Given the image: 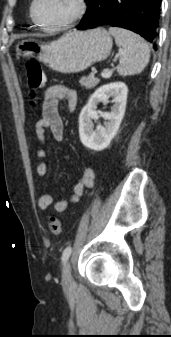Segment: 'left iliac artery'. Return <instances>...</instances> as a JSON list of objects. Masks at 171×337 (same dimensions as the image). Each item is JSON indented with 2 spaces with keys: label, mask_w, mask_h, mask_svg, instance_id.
Masks as SVG:
<instances>
[{
  "label": "left iliac artery",
  "mask_w": 171,
  "mask_h": 337,
  "mask_svg": "<svg viewBox=\"0 0 171 337\" xmlns=\"http://www.w3.org/2000/svg\"><path fill=\"white\" fill-rule=\"evenodd\" d=\"M71 252H72V248L70 246L64 249L62 253V263H65L69 259Z\"/></svg>",
  "instance_id": "obj_1"
}]
</instances>
